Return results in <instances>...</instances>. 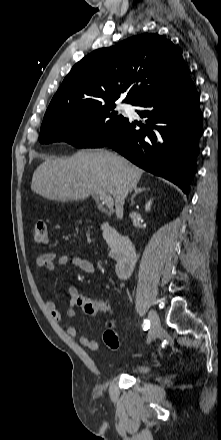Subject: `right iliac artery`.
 I'll return each instance as SVG.
<instances>
[{"label": "right iliac artery", "mask_w": 221, "mask_h": 440, "mask_svg": "<svg viewBox=\"0 0 221 440\" xmlns=\"http://www.w3.org/2000/svg\"><path fill=\"white\" fill-rule=\"evenodd\" d=\"M150 328V321L149 320H144L143 322V329L147 330Z\"/></svg>", "instance_id": "1"}]
</instances>
